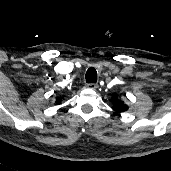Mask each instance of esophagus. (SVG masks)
<instances>
[{"instance_id":"34e87169","label":"esophagus","mask_w":171,"mask_h":171,"mask_svg":"<svg viewBox=\"0 0 171 171\" xmlns=\"http://www.w3.org/2000/svg\"><path fill=\"white\" fill-rule=\"evenodd\" d=\"M86 87L88 88V89H96V88H98V84L97 83H88L87 85H86Z\"/></svg>"}]
</instances>
